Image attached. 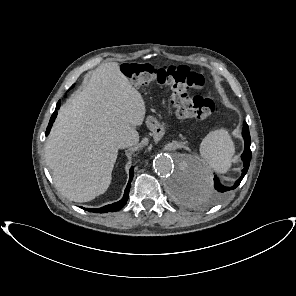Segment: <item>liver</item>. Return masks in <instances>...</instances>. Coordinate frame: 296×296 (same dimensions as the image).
Returning <instances> with one entry per match:
<instances>
[{
  "label": "liver",
  "mask_w": 296,
  "mask_h": 296,
  "mask_svg": "<svg viewBox=\"0 0 296 296\" xmlns=\"http://www.w3.org/2000/svg\"><path fill=\"white\" fill-rule=\"evenodd\" d=\"M146 106L116 62L91 72L86 85L61 107L45 144L58 191L74 202L105 193L118 155L117 142L136 145Z\"/></svg>",
  "instance_id": "liver-1"
}]
</instances>
